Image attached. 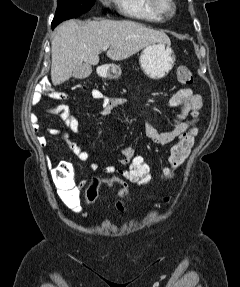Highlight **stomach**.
<instances>
[{
	"label": "stomach",
	"mask_w": 240,
	"mask_h": 287,
	"mask_svg": "<svg viewBox=\"0 0 240 287\" xmlns=\"http://www.w3.org/2000/svg\"><path fill=\"white\" fill-rule=\"evenodd\" d=\"M175 54L170 43H152L141 52L139 62L143 72L151 79H162L169 74L175 64ZM121 69L112 65L108 71L110 79H119Z\"/></svg>",
	"instance_id": "obj_1"
}]
</instances>
